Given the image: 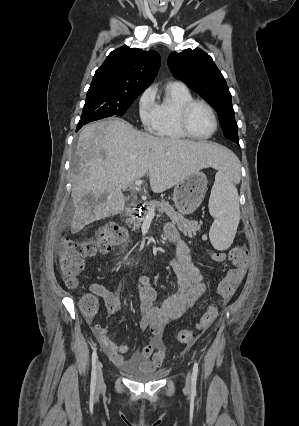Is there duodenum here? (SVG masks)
I'll return each mask as SVG.
<instances>
[{
  "label": "duodenum",
  "instance_id": "1",
  "mask_svg": "<svg viewBox=\"0 0 299 426\" xmlns=\"http://www.w3.org/2000/svg\"><path fill=\"white\" fill-rule=\"evenodd\" d=\"M138 210V206L137 205H131L129 206L124 213L125 218H131L135 215V213Z\"/></svg>",
  "mask_w": 299,
  "mask_h": 426
}]
</instances>
